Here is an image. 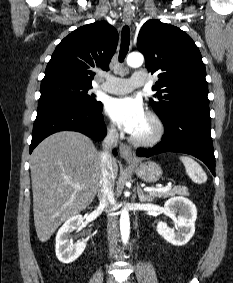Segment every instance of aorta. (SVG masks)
Listing matches in <instances>:
<instances>
[{
  "instance_id": "aorta-1",
  "label": "aorta",
  "mask_w": 233,
  "mask_h": 283,
  "mask_svg": "<svg viewBox=\"0 0 233 283\" xmlns=\"http://www.w3.org/2000/svg\"><path fill=\"white\" fill-rule=\"evenodd\" d=\"M144 57L141 53H130L127 57V64L130 67H139L143 64ZM120 232L122 242L128 243L130 235V218L127 208H123L120 216Z\"/></svg>"
}]
</instances>
